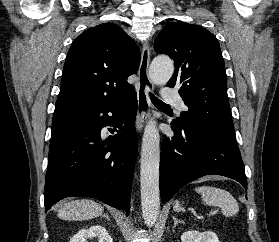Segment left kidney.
Instances as JSON below:
<instances>
[{
  "mask_svg": "<svg viewBox=\"0 0 279 242\" xmlns=\"http://www.w3.org/2000/svg\"><path fill=\"white\" fill-rule=\"evenodd\" d=\"M181 242H219L217 235L212 231H186L181 235Z\"/></svg>",
  "mask_w": 279,
  "mask_h": 242,
  "instance_id": "1",
  "label": "left kidney"
}]
</instances>
